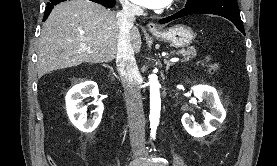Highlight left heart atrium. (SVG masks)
<instances>
[{
  "label": "left heart atrium",
  "mask_w": 277,
  "mask_h": 166,
  "mask_svg": "<svg viewBox=\"0 0 277 166\" xmlns=\"http://www.w3.org/2000/svg\"><path fill=\"white\" fill-rule=\"evenodd\" d=\"M134 3L151 9H160L168 6L172 0H132Z\"/></svg>",
  "instance_id": "1"
}]
</instances>
